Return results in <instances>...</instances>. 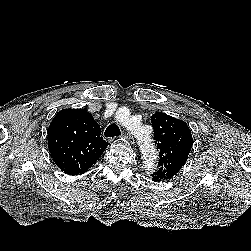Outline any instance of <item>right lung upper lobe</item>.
<instances>
[{"label":"right lung upper lobe","instance_id":"cb5924a9","mask_svg":"<svg viewBox=\"0 0 251 251\" xmlns=\"http://www.w3.org/2000/svg\"><path fill=\"white\" fill-rule=\"evenodd\" d=\"M107 145L100 126L85 109L61 110L48 128L50 155L68 175L87 172Z\"/></svg>","mask_w":251,"mask_h":251}]
</instances>
